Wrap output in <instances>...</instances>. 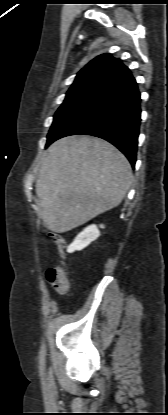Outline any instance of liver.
I'll use <instances>...</instances> for the list:
<instances>
[{"mask_svg": "<svg viewBox=\"0 0 168 415\" xmlns=\"http://www.w3.org/2000/svg\"><path fill=\"white\" fill-rule=\"evenodd\" d=\"M131 181L129 161L109 142L62 138L48 148L36 181L43 221L53 232L70 231L117 207Z\"/></svg>", "mask_w": 168, "mask_h": 415, "instance_id": "liver-1", "label": "liver"}]
</instances>
